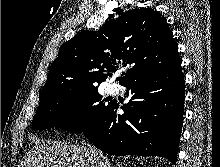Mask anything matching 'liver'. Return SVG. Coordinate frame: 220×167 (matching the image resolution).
I'll return each mask as SVG.
<instances>
[{
    "mask_svg": "<svg viewBox=\"0 0 220 167\" xmlns=\"http://www.w3.org/2000/svg\"><path fill=\"white\" fill-rule=\"evenodd\" d=\"M98 155L103 156L92 146L38 140L18 167H98Z\"/></svg>",
    "mask_w": 220,
    "mask_h": 167,
    "instance_id": "liver-1",
    "label": "liver"
}]
</instances>
